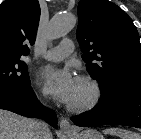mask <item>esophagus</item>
<instances>
[{"instance_id":"obj_1","label":"esophagus","mask_w":141,"mask_h":139,"mask_svg":"<svg viewBox=\"0 0 141 139\" xmlns=\"http://www.w3.org/2000/svg\"><path fill=\"white\" fill-rule=\"evenodd\" d=\"M60 129L64 132H70L74 130V127L70 124L68 119L66 118H61L59 122Z\"/></svg>"}]
</instances>
